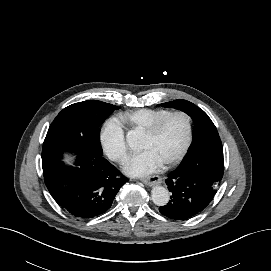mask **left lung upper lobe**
Segmentation results:
<instances>
[{
	"label": "left lung upper lobe",
	"instance_id": "1",
	"mask_svg": "<svg viewBox=\"0 0 271 271\" xmlns=\"http://www.w3.org/2000/svg\"><path fill=\"white\" fill-rule=\"evenodd\" d=\"M161 105L187 113L195 124L194 142L179 168L222 178L224 172L223 147L217 129L209 116L195 104L183 99Z\"/></svg>",
	"mask_w": 271,
	"mask_h": 271
}]
</instances>
